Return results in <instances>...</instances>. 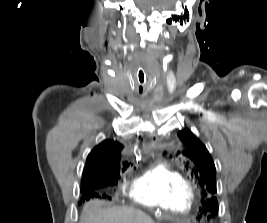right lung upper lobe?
Instances as JSON below:
<instances>
[{
	"instance_id": "right-lung-upper-lobe-1",
	"label": "right lung upper lobe",
	"mask_w": 267,
	"mask_h": 223,
	"mask_svg": "<svg viewBox=\"0 0 267 223\" xmlns=\"http://www.w3.org/2000/svg\"><path fill=\"white\" fill-rule=\"evenodd\" d=\"M121 145L112 140H105L96 146L87 157L83 179L102 178L113 169H120L119 153Z\"/></svg>"
}]
</instances>
